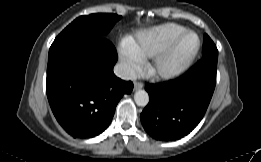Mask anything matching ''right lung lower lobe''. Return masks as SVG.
I'll list each match as a JSON object with an SVG mask.
<instances>
[{"label": "right lung lower lobe", "mask_w": 261, "mask_h": 162, "mask_svg": "<svg viewBox=\"0 0 261 162\" xmlns=\"http://www.w3.org/2000/svg\"><path fill=\"white\" fill-rule=\"evenodd\" d=\"M116 49L103 36L54 41L49 50L46 91L58 123L74 138L99 135L115 108L133 89L113 73Z\"/></svg>", "instance_id": "obj_1"}]
</instances>
